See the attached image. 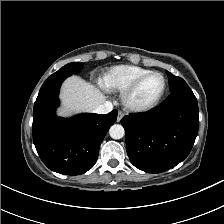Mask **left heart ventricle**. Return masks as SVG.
I'll use <instances>...</instances> for the list:
<instances>
[{"label": "left heart ventricle", "instance_id": "left-heart-ventricle-1", "mask_svg": "<svg viewBox=\"0 0 224 224\" xmlns=\"http://www.w3.org/2000/svg\"><path fill=\"white\" fill-rule=\"evenodd\" d=\"M164 80L160 75H152L147 78L133 96L136 104H147L153 101L162 91Z\"/></svg>", "mask_w": 224, "mask_h": 224}]
</instances>
